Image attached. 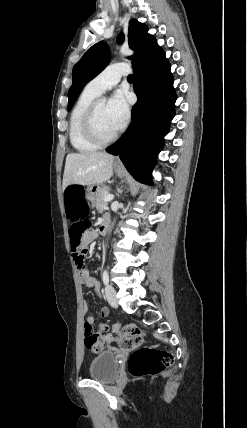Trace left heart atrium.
<instances>
[{"instance_id":"left-heart-atrium-1","label":"left heart atrium","mask_w":247,"mask_h":428,"mask_svg":"<svg viewBox=\"0 0 247 428\" xmlns=\"http://www.w3.org/2000/svg\"><path fill=\"white\" fill-rule=\"evenodd\" d=\"M106 108L115 128H122L129 116V107L125 94L122 91H117L107 102Z\"/></svg>"}]
</instances>
